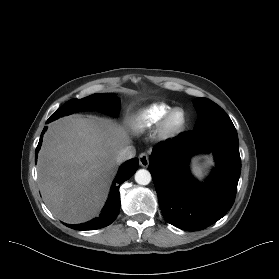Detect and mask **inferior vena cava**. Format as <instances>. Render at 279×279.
I'll return each instance as SVG.
<instances>
[{
  "label": "inferior vena cava",
  "instance_id": "602c4592",
  "mask_svg": "<svg viewBox=\"0 0 279 279\" xmlns=\"http://www.w3.org/2000/svg\"><path fill=\"white\" fill-rule=\"evenodd\" d=\"M135 153L136 150L133 146H126L118 152L116 156V162L120 164L126 160H129L135 156Z\"/></svg>",
  "mask_w": 279,
  "mask_h": 279
}]
</instances>
